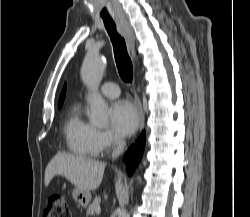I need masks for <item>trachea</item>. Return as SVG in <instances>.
I'll list each match as a JSON object with an SVG mask.
<instances>
[{"mask_svg":"<svg viewBox=\"0 0 250 217\" xmlns=\"http://www.w3.org/2000/svg\"><path fill=\"white\" fill-rule=\"evenodd\" d=\"M103 22L113 45L119 75L124 82L129 83L133 78V66L127 52L125 40L118 34L112 19H103Z\"/></svg>","mask_w":250,"mask_h":217,"instance_id":"trachea-1","label":"trachea"}]
</instances>
